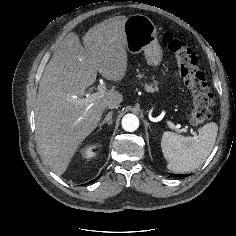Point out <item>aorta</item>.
Segmentation results:
<instances>
[{
    "mask_svg": "<svg viewBox=\"0 0 236 236\" xmlns=\"http://www.w3.org/2000/svg\"><path fill=\"white\" fill-rule=\"evenodd\" d=\"M122 127L125 131L133 132L139 127V119L134 114H126L122 119Z\"/></svg>",
    "mask_w": 236,
    "mask_h": 236,
    "instance_id": "762f6f07",
    "label": "aorta"
}]
</instances>
